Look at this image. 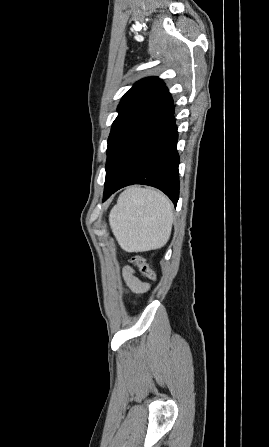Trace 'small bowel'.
<instances>
[{
  "instance_id": "small-bowel-1",
  "label": "small bowel",
  "mask_w": 269,
  "mask_h": 447,
  "mask_svg": "<svg viewBox=\"0 0 269 447\" xmlns=\"http://www.w3.org/2000/svg\"><path fill=\"white\" fill-rule=\"evenodd\" d=\"M123 278L127 286V292L142 295L150 289V285L140 280L131 267H125L123 269Z\"/></svg>"
}]
</instances>
